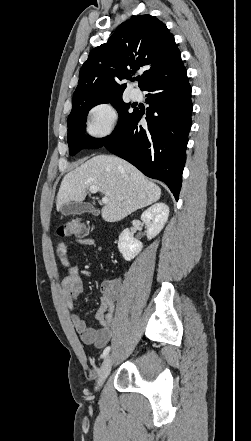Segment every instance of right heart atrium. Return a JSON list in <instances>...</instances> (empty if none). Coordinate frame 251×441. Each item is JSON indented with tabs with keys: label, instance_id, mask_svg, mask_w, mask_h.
Returning <instances> with one entry per match:
<instances>
[{
	"label": "right heart atrium",
	"instance_id": "d8ad5b80",
	"mask_svg": "<svg viewBox=\"0 0 251 441\" xmlns=\"http://www.w3.org/2000/svg\"><path fill=\"white\" fill-rule=\"evenodd\" d=\"M117 122V112L109 102L94 105L87 114L86 130L94 138L110 135Z\"/></svg>",
	"mask_w": 251,
	"mask_h": 441
}]
</instances>
